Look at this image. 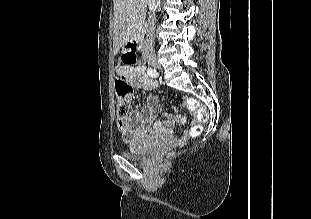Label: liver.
I'll use <instances>...</instances> for the list:
<instances>
[{
	"label": "liver",
	"mask_w": 311,
	"mask_h": 219,
	"mask_svg": "<svg viewBox=\"0 0 311 219\" xmlns=\"http://www.w3.org/2000/svg\"><path fill=\"white\" fill-rule=\"evenodd\" d=\"M114 37L113 49H119L133 40L135 33L145 18L146 0H113Z\"/></svg>",
	"instance_id": "1"
}]
</instances>
